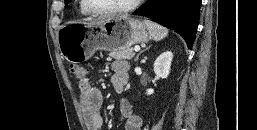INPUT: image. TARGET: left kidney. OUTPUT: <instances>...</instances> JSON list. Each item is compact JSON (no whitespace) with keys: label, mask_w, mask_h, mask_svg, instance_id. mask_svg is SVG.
<instances>
[{"label":"left kidney","mask_w":257,"mask_h":130,"mask_svg":"<svg viewBox=\"0 0 257 130\" xmlns=\"http://www.w3.org/2000/svg\"><path fill=\"white\" fill-rule=\"evenodd\" d=\"M173 59V54L170 51L162 53L154 62V72L157 77L165 79L170 73V66ZM154 93L153 89H148L146 91L147 95Z\"/></svg>","instance_id":"1"}]
</instances>
